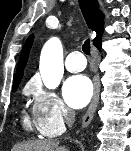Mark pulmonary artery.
Returning <instances> with one entry per match:
<instances>
[{
    "mask_svg": "<svg viewBox=\"0 0 131 151\" xmlns=\"http://www.w3.org/2000/svg\"><path fill=\"white\" fill-rule=\"evenodd\" d=\"M65 67L69 72H80L86 67V60L79 51H73L68 54L65 60Z\"/></svg>",
    "mask_w": 131,
    "mask_h": 151,
    "instance_id": "obj_1",
    "label": "pulmonary artery"
}]
</instances>
